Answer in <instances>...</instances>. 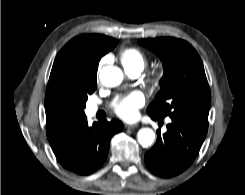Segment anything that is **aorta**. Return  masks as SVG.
Masks as SVG:
<instances>
[{"label":"aorta","mask_w":245,"mask_h":195,"mask_svg":"<svg viewBox=\"0 0 245 195\" xmlns=\"http://www.w3.org/2000/svg\"><path fill=\"white\" fill-rule=\"evenodd\" d=\"M100 81L106 87H115L123 81V72L117 66H105L100 71ZM137 139L140 145L148 147L155 140V133L151 128H142L138 131Z\"/></svg>","instance_id":"aorta-1"}]
</instances>
